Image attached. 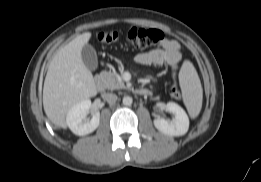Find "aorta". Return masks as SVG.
<instances>
[{"mask_svg": "<svg viewBox=\"0 0 261 182\" xmlns=\"http://www.w3.org/2000/svg\"><path fill=\"white\" fill-rule=\"evenodd\" d=\"M123 104L126 106L132 105L133 99L130 96H125L122 100Z\"/></svg>", "mask_w": 261, "mask_h": 182, "instance_id": "1", "label": "aorta"}]
</instances>
